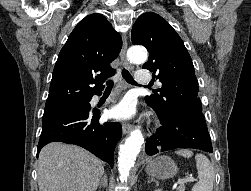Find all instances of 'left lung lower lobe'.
I'll return each instance as SVG.
<instances>
[{
    "label": "left lung lower lobe",
    "instance_id": "obj_1",
    "mask_svg": "<svg viewBox=\"0 0 251 191\" xmlns=\"http://www.w3.org/2000/svg\"><path fill=\"white\" fill-rule=\"evenodd\" d=\"M160 121L162 126L146 141L145 151L148 155L177 148L213 152L202 109L184 108Z\"/></svg>",
    "mask_w": 251,
    "mask_h": 191
}]
</instances>
